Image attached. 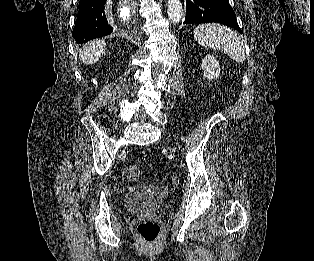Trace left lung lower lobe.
I'll use <instances>...</instances> for the list:
<instances>
[{
	"label": "left lung lower lobe",
	"mask_w": 314,
	"mask_h": 261,
	"mask_svg": "<svg viewBox=\"0 0 314 261\" xmlns=\"http://www.w3.org/2000/svg\"><path fill=\"white\" fill-rule=\"evenodd\" d=\"M217 22L241 30L227 0H186L185 24Z\"/></svg>",
	"instance_id": "left-lung-lower-lobe-1"
}]
</instances>
